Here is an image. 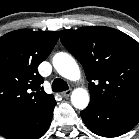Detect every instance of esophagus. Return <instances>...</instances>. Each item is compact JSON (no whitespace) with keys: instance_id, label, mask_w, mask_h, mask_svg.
I'll return each instance as SVG.
<instances>
[{"instance_id":"obj_1","label":"esophagus","mask_w":139,"mask_h":139,"mask_svg":"<svg viewBox=\"0 0 139 139\" xmlns=\"http://www.w3.org/2000/svg\"><path fill=\"white\" fill-rule=\"evenodd\" d=\"M71 90H66V91H63L61 94L63 97H69L71 95Z\"/></svg>"}]
</instances>
